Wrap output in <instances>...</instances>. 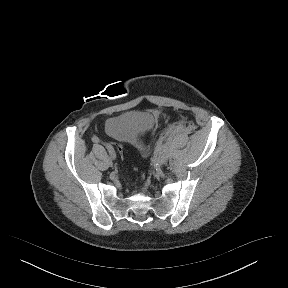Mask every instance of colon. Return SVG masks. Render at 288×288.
Listing matches in <instances>:
<instances>
[{
	"label": "colon",
	"mask_w": 288,
	"mask_h": 288,
	"mask_svg": "<svg viewBox=\"0 0 288 288\" xmlns=\"http://www.w3.org/2000/svg\"><path fill=\"white\" fill-rule=\"evenodd\" d=\"M114 147L117 148L119 150V153L121 156H123V150H122V146L120 143H115Z\"/></svg>",
	"instance_id": "obj_1"
}]
</instances>
